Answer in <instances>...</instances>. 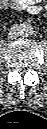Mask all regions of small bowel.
<instances>
[{"label":"small bowel","instance_id":"obj_1","mask_svg":"<svg viewBox=\"0 0 47 129\" xmlns=\"http://www.w3.org/2000/svg\"><path fill=\"white\" fill-rule=\"evenodd\" d=\"M2 6L5 8H14L18 10H25L30 14H38L42 7L39 4L40 0H1Z\"/></svg>","mask_w":47,"mask_h":129}]
</instances>
